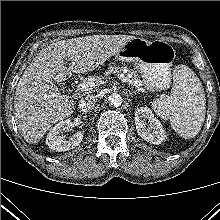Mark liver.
<instances>
[{"mask_svg": "<svg viewBox=\"0 0 220 220\" xmlns=\"http://www.w3.org/2000/svg\"><path fill=\"white\" fill-rule=\"evenodd\" d=\"M127 35H94L61 40L33 59L20 78L14 96L18 128L29 144L38 143L51 126L71 116L75 101L61 95L55 82L72 73L93 71L134 39ZM65 60L71 61L69 67Z\"/></svg>", "mask_w": 220, "mask_h": 220, "instance_id": "liver-1", "label": "liver"}]
</instances>
